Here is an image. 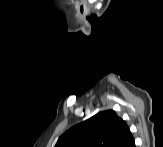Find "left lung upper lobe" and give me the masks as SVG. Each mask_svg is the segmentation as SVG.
<instances>
[{
  "label": "left lung upper lobe",
  "instance_id": "5c2ea615",
  "mask_svg": "<svg viewBox=\"0 0 163 147\" xmlns=\"http://www.w3.org/2000/svg\"><path fill=\"white\" fill-rule=\"evenodd\" d=\"M127 127L115 111H102L71 127L55 147H115Z\"/></svg>",
  "mask_w": 163,
  "mask_h": 147
}]
</instances>
